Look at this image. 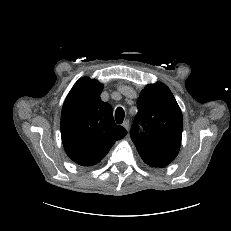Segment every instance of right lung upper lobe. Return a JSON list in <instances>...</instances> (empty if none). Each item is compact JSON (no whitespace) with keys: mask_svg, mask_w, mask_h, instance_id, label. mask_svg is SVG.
Here are the masks:
<instances>
[{"mask_svg":"<svg viewBox=\"0 0 231 231\" xmlns=\"http://www.w3.org/2000/svg\"><path fill=\"white\" fill-rule=\"evenodd\" d=\"M103 85L95 79H79L70 90L61 113L62 143L77 164L92 166L101 161L115 141L127 131L115 124L112 107L100 99Z\"/></svg>","mask_w":231,"mask_h":231,"instance_id":"1","label":"right lung upper lobe"}]
</instances>
